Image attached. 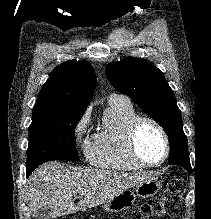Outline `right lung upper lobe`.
Here are the masks:
<instances>
[{
    "instance_id": "right-lung-upper-lobe-1",
    "label": "right lung upper lobe",
    "mask_w": 211,
    "mask_h": 219,
    "mask_svg": "<svg viewBox=\"0 0 211 219\" xmlns=\"http://www.w3.org/2000/svg\"><path fill=\"white\" fill-rule=\"evenodd\" d=\"M96 80L88 62L67 61L50 75L35 106H46L55 113H84L93 96Z\"/></svg>"
}]
</instances>
